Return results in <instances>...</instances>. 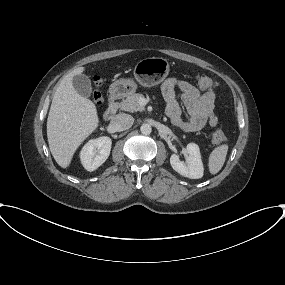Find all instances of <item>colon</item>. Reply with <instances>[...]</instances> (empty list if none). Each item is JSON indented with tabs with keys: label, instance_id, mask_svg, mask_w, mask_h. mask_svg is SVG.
I'll use <instances>...</instances> for the list:
<instances>
[{
	"label": "colon",
	"instance_id": "5ec220e1",
	"mask_svg": "<svg viewBox=\"0 0 285 285\" xmlns=\"http://www.w3.org/2000/svg\"><path fill=\"white\" fill-rule=\"evenodd\" d=\"M196 82L198 86L204 90H213L217 86V82L205 75V74H199L196 76ZM100 83L98 80H95V86L91 92L92 99L95 103L100 104L102 102V95L99 90ZM226 141V135L224 134L223 130L221 128H217L212 135V142L215 145H219Z\"/></svg>",
	"mask_w": 285,
	"mask_h": 285
}]
</instances>
